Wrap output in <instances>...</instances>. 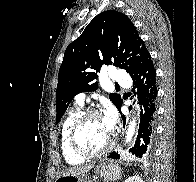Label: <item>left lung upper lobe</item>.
Listing matches in <instances>:
<instances>
[{
    "label": "left lung upper lobe",
    "mask_w": 196,
    "mask_h": 182,
    "mask_svg": "<svg viewBox=\"0 0 196 182\" xmlns=\"http://www.w3.org/2000/svg\"><path fill=\"white\" fill-rule=\"evenodd\" d=\"M149 55L136 27L125 14L115 10L98 14L66 48L58 74L56 123L76 94L98 88L95 79L102 66L113 64L133 75ZM109 98L116 107L123 101L116 93Z\"/></svg>",
    "instance_id": "obj_1"
}]
</instances>
